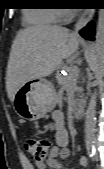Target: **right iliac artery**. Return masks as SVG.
Returning a JSON list of instances; mask_svg holds the SVG:
<instances>
[{
  "label": "right iliac artery",
  "mask_w": 104,
  "mask_h": 169,
  "mask_svg": "<svg viewBox=\"0 0 104 169\" xmlns=\"http://www.w3.org/2000/svg\"><path fill=\"white\" fill-rule=\"evenodd\" d=\"M86 148H87V152L88 155L93 158L95 156L96 153V148H95V141L90 139L86 141Z\"/></svg>",
  "instance_id": "obj_1"
}]
</instances>
